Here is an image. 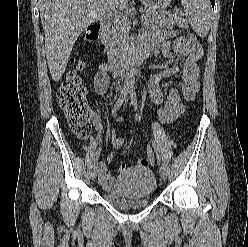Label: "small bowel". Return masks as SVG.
Wrapping results in <instances>:
<instances>
[{"mask_svg":"<svg viewBox=\"0 0 248 247\" xmlns=\"http://www.w3.org/2000/svg\"><path fill=\"white\" fill-rule=\"evenodd\" d=\"M174 32L171 30H162L154 32L141 42V48L146 50L148 54H155L157 48H160L161 54L165 58L171 56V48L174 52L184 58L181 67L176 65L168 66L162 70L151 69L147 89L152 102L156 106L163 103L162 84L168 79L179 80L182 83V89L173 88L169 91L166 98L165 106L169 114V122L175 120L185 108V103L191 101L199 91V60L203 55V50L198 42H190L185 37H177L171 44V38ZM108 66L103 64L94 78V87L99 95L107 92L109 85ZM92 121L97 130L102 129L101 119L98 115H92ZM111 142L113 146L120 147L124 144V139L120 130H116L111 134ZM107 163H113V156L108 155ZM149 165L146 157L140 158L136 166L147 167ZM131 168L123 163L119 167L120 175L127 169ZM99 180L101 184L108 189H117L119 177H113L104 162L98 164Z\"/></svg>","mask_w":248,"mask_h":247,"instance_id":"1","label":"small bowel"}]
</instances>
